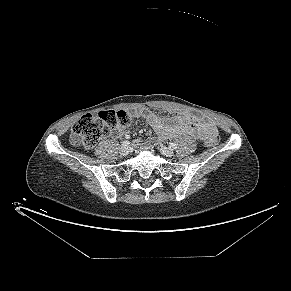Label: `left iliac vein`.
<instances>
[{"mask_svg": "<svg viewBox=\"0 0 291 291\" xmlns=\"http://www.w3.org/2000/svg\"><path fill=\"white\" fill-rule=\"evenodd\" d=\"M160 152H161V154H163L166 157H171L174 155L173 149L167 148V147H161Z\"/></svg>", "mask_w": 291, "mask_h": 291, "instance_id": "4c4485c4", "label": "left iliac vein"}]
</instances>
